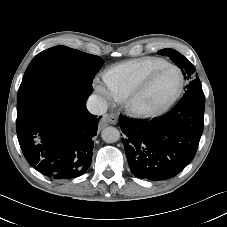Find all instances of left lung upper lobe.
<instances>
[{"mask_svg": "<svg viewBox=\"0 0 227 227\" xmlns=\"http://www.w3.org/2000/svg\"><path fill=\"white\" fill-rule=\"evenodd\" d=\"M159 53L169 56L170 59L182 70L185 79L189 81L186 86L185 94L179 103L186 101L201 102L205 104V96L201 87L200 80L195 74V67L186 57L173 49H163Z\"/></svg>", "mask_w": 227, "mask_h": 227, "instance_id": "1", "label": "left lung upper lobe"}]
</instances>
